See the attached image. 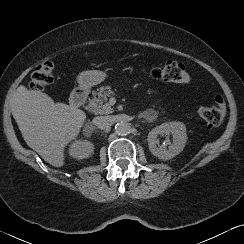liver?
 Here are the masks:
<instances>
[{"label": "liver", "mask_w": 244, "mask_h": 244, "mask_svg": "<svg viewBox=\"0 0 244 244\" xmlns=\"http://www.w3.org/2000/svg\"><path fill=\"white\" fill-rule=\"evenodd\" d=\"M11 108L27 145L50 165L62 167L65 147L79 135L85 112L25 86L17 89Z\"/></svg>", "instance_id": "6515ba94"}]
</instances>
